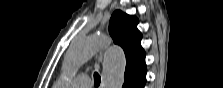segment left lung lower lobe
<instances>
[{"label":"left lung lower lobe","instance_id":"1","mask_svg":"<svg viewBox=\"0 0 223 88\" xmlns=\"http://www.w3.org/2000/svg\"><path fill=\"white\" fill-rule=\"evenodd\" d=\"M146 81V65L125 69L123 88H144Z\"/></svg>","mask_w":223,"mask_h":88}]
</instances>
